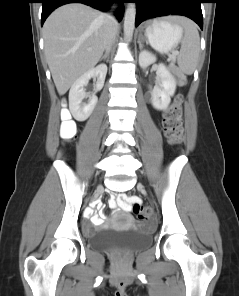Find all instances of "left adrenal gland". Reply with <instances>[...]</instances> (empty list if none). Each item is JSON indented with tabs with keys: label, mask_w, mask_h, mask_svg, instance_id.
Masks as SVG:
<instances>
[{
	"label": "left adrenal gland",
	"mask_w": 239,
	"mask_h": 296,
	"mask_svg": "<svg viewBox=\"0 0 239 296\" xmlns=\"http://www.w3.org/2000/svg\"><path fill=\"white\" fill-rule=\"evenodd\" d=\"M138 43H139V48L141 49L142 48V38L138 39Z\"/></svg>",
	"instance_id": "left-adrenal-gland-1"
}]
</instances>
